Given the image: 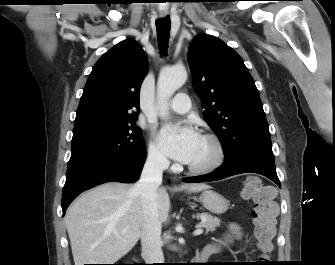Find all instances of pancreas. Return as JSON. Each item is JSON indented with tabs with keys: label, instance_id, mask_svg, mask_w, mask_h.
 <instances>
[{
	"label": "pancreas",
	"instance_id": "cf45deb5",
	"mask_svg": "<svg viewBox=\"0 0 335 265\" xmlns=\"http://www.w3.org/2000/svg\"><path fill=\"white\" fill-rule=\"evenodd\" d=\"M197 218H200L202 220V222L197 226L205 228L206 232L215 231V228L220 226V219L217 217H213L208 213L198 214Z\"/></svg>",
	"mask_w": 335,
	"mask_h": 265
}]
</instances>
